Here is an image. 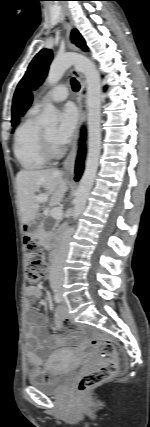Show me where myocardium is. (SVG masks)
Returning a JSON list of instances; mask_svg holds the SVG:
<instances>
[{"mask_svg":"<svg viewBox=\"0 0 150 427\" xmlns=\"http://www.w3.org/2000/svg\"><path fill=\"white\" fill-rule=\"evenodd\" d=\"M41 153L48 160H53L62 155V150L59 149L45 134L44 130L40 133Z\"/></svg>","mask_w":150,"mask_h":427,"instance_id":"f54148a6","label":"myocardium"}]
</instances>
